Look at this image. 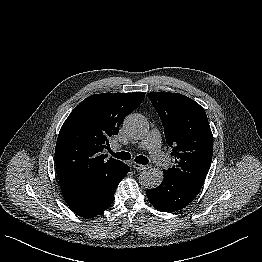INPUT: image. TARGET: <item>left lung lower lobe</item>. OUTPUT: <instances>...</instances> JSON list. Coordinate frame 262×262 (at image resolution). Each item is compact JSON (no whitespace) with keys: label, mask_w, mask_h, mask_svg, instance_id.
I'll return each mask as SVG.
<instances>
[{"label":"left lung lower lobe","mask_w":262,"mask_h":262,"mask_svg":"<svg viewBox=\"0 0 262 262\" xmlns=\"http://www.w3.org/2000/svg\"><path fill=\"white\" fill-rule=\"evenodd\" d=\"M163 173L161 185L147 190L148 199L158 211L174 212L183 209L192 202L201 189Z\"/></svg>","instance_id":"left-lung-lower-lobe-1"}]
</instances>
